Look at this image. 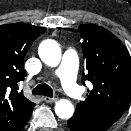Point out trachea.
Returning a JSON list of instances; mask_svg holds the SVG:
<instances>
[{"label": "trachea", "mask_w": 131, "mask_h": 131, "mask_svg": "<svg viewBox=\"0 0 131 131\" xmlns=\"http://www.w3.org/2000/svg\"><path fill=\"white\" fill-rule=\"evenodd\" d=\"M32 93L34 95H43L52 98L53 97V90L52 88L47 85L46 83H42L37 85L33 90Z\"/></svg>", "instance_id": "3493384b"}]
</instances>
